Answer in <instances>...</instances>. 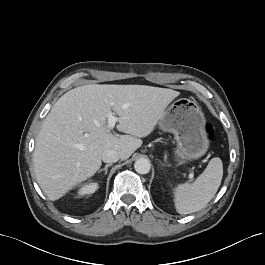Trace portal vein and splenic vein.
I'll use <instances>...</instances> for the list:
<instances>
[{
    "instance_id": "obj_1",
    "label": "portal vein and splenic vein",
    "mask_w": 265,
    "mask_h": 265,
    "mask_svg": "<svg viewBox=\"0 0 265 265\" xmlns=\"http://www.w3.org/2000/svg\"><path fill=\"white\" fill-rule=\"evenodd\" d=\"M107 127L109 130L113 129L116 122H119L120 121V118L114 116V114L112 112H109L108 115H107ZM189 178L192 179L193 178V174L191 173L189 175Z\"/></svg>"
}]
</instances>
